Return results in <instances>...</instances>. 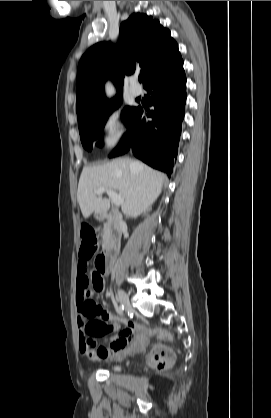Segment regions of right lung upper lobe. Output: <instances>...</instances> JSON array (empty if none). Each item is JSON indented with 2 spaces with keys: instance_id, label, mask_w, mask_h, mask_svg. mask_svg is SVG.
<instances>
[{
  "instance_id": "obj_1",
  "label": "right lung upper lobe",
  "mask_w": 271,
  "mask_h": 418,
  "mask_svg": "<svg viewBox=\"0 0 271 418\" xmlns=\"http://www.w3.org/2000/svg\"><path fill=\"white\" fill-rule=\"evenodd\" d=\"M117 55L110 43L95 44L82 56L76 80L77 116L108 102L104 83L111 78L121 95L125 74L140 70L143 86L180 61L181 55L170 31L158 20L141 13L132 14L120 27ZM117 96V97H118Z\"/></svg>"
}]
</instances>
